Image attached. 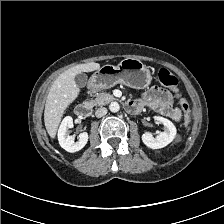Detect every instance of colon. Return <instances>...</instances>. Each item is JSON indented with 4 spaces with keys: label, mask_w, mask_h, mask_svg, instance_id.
Masks as SVG:
<instances>
[{
    "label": "colon",
    "mask_w": 224,
    "mask_h": 224,
    "mask_svg": "<svg viewBox=\"0 0 224 224\" xmlns=\"http://www.w3.org/2000/svg\"><path fill=\"white\" fill-rule=\"evenodd\" d=\"M158 80L162 85L170 88L174 92V94L178 100L180 110L183 114L185 125H188V123L190 121V110H189V106H188L187 102L178 93L177 78L167 69L161 68L158 71Z\"/></svg>",
    "instance_id": "1"
}]
</instances>
